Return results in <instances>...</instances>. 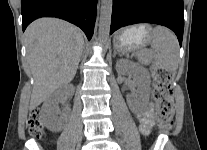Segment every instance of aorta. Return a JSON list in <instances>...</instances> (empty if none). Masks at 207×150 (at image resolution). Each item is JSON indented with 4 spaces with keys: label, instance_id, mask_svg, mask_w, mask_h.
<instances>
[{
    "label": "aorta",
    "instance_id": "obj_1",
    "mask_svg": "<svg viewBox=\"0 0 207 150\" xmlns=\"http://www.w3.org/2000/svg\"><path fill=\"white\" fill-rule=\"evenodd\" d=\"M113 0H101L99 18V39L102 43L109 40Z\"/></svg>",
    "mask_w": 207,
    "mask_h": 150
}]
</instances>
